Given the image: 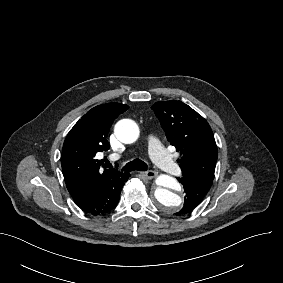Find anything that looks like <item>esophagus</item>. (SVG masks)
I'll return each instance as SVG.
<instances>
[{"instance_id":"1","label":"esophagus","mask_w":283,"mask_h":283,"mask_svg":"<svg viewBox=\"0 0 283 283\" xmlns=\"http://www.w3.org/2000/svg\"><path fill=\"white\" fill-rule=\"evenodd\" d=\"M140 174L146 179H153V178L157 177V172H155L153 170H147L145 172H141Z\"/></svg>"}]
</instances>
